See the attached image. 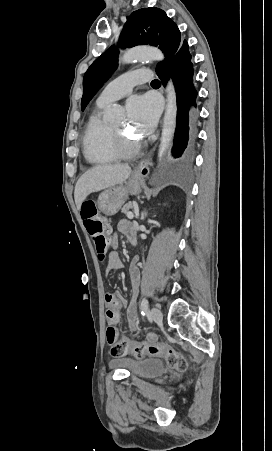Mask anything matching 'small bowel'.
<instances>
[{"instance_id":"small-bowel-1","label":"small bowel","mask_w":272,"mask_h":451,"mask_svg":"<svg viewBox=\"0 0 272 451\" xmlns=\"http://www.w3.org/2000/svg\"><path fill=\"white\" fill-rule=\"evenodd\" d=\"M117 231L124 234L129 240L135 237V227L128 219H122L117 224ZM107 232L112 233V230L107 227ZM109 243L113 248L117 247V239L115 235L110 236ZM123 267V263L115 250L108 254L105 271L109 273L113 270H118ZM129 278L131 282V291L133 299L137 296L140 285V268L138 258H134L129 268ZM107 301V318L111 322H118L120 320V313L125 309V317L128 326L131 330L138 329L139 320L134 301L128 303L127 299L119 292L111 293L106 296ZM151 340L154 337L151 336Z\"/></svg>"}]
</instances>
